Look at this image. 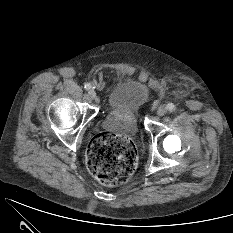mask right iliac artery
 Masks as SVG:
<instances>
[{
	"label": "right iliac artery",
	"instance_id": "1",
	"mask_svg": "<svg viewBox=\"0 0 233 233\" xmlns=\"http://www.w3.org/2000/svg\"><path fill=\"white\" fill-rule=\"evenodd\" d=\"M84 87H85L86 90H90L92 86H91L90 83H86V84L84 85Z\"/></svg>",
	"mask_w": 233,
	"mask_h": 233
}]
</instances>
